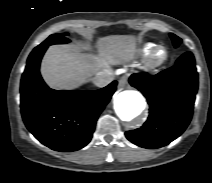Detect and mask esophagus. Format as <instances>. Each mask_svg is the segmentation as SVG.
<instances>
[{
  "mask_svg": "<svg viewBox=\"0 0 212 183\" xmlns=\"http://www.w3.org/2000/svg\"><path fill=\"white\" fill-rule=\"evenodd\" d=\"M127 84H128L127 78H122V79L119 80V82H118V89H119V90L125 89L126 86H127Z\"/></svg>",
  "mask_w": 212,
  "mask_h": 183,
  "instance_id": "34e87169",
  "label": "esophagus"
}]
</instances>
